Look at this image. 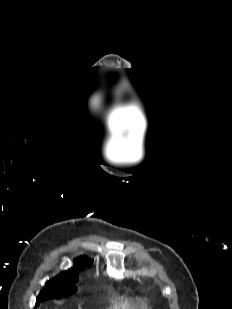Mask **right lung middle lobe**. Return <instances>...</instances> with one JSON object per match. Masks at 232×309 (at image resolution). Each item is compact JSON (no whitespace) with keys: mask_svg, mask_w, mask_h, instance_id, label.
Returning <instances> with one entry per match:
<instances>
[{"mask_svg":"<svg viewBox=\"0 0 232 309\" xmlns=\"http://www.w3.org/2000/svg\"><path fill=\"white\" fill-rule=\"evenodd\" d=\"M75 292V282H62L53 285L47 283L37 297L36 306L47 299L57 298L61 295H70Z\"/></svg>","mask_w":232,"mask_h":309,"instance_id":"right-lung-middle-lobe-1","label":"right lung middle lobe"}]
</instances>
